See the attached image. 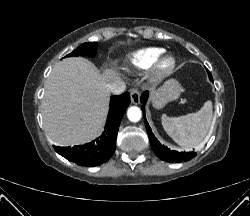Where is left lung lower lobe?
<instances>
[{
	"label": "left lung lower lobe",
	"instance_id": "1",
	"mask_svg": "<svg viewBox=\"0 0 250 216\" xmlns=\"http://www.w3.org/2000/svg\"><path fill=\"white\" fill-rule=\"evenodd\" d=\"M208 75H209V79L213 82V78L210 74V72L208 71ZM148 98V92H144L141 96V103L142 105V111L144 113V120H145V125H146V129H147V133H148V137L150 140V144L151 147L154 151V153L161 159V160H165L167 162H181V161H188L190 159H192L193 157L196 156L195 152H178L175 150H170L168 149L166 146L161 145L159 143V141L155 138V136L153 135L151 128L149 126V124L146 121L145 118V104Z\"/></svg>",
	"mask_w": 250,
	"mask_h": 216
}]
</instances>
